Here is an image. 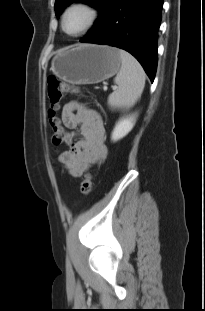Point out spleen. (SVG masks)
<instances>
[{
  "label": "spleen",
  "instance_id": "1",
  "mask_svg": "<svg viewBox=\"0 0 205 311\" xmlns=\"http://www.w3.org/2000/svg\"><path fill=\"white\" fill-rule=\"evenodd\" d=\"M119 54L121 68L114 79L118 88L108 97V104L114 108L133 105L145 86V72L137 59L122 49Z\"/></svg>",
  "mask_w": 205,
  "mask_h": 311
}]
</instances>
